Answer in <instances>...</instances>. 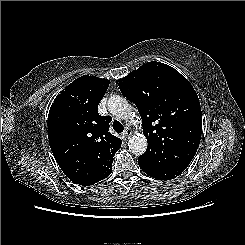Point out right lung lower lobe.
I'll use <instances>...</instances> for the list:
<instances>
[{"label": "right lung lower lobe", "instance_id": "98d812e1", "mask_svg": "<svg viewBox=\"0 0 245 245\" xmlns=\"http://www.w3.org/2000/svg\"><path fill=\"white\" fill-rule=\"evenodd\" d=\"M113 155H100L96 161L97 168L101 173L102 180L109 176L112 172V162H113ZM64 174L74 183L79 184V178L77 172L73 167H61ZM81 185V184H80Z\"/></svg>", "mask_w": 245, "mask_h": 245}]
</instances>
